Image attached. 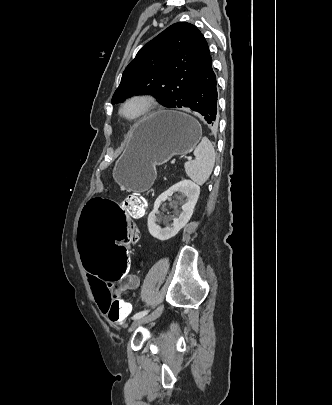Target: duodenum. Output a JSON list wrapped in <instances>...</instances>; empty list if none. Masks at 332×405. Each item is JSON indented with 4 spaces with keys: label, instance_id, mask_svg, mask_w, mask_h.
Masks as SVG:
<instances>
[{
    "label": "duodenum",
    "instance_id": "obj_1",
    "mask_svg": "<svg viewBox=\"0 0 332 405\" xmlns=\"http://www.w3.org/2000/svg\"><path fill=\"white\" fill-rule=\"evenodd\" d=\"M135 216H136V217H140V216H141V214L137 213Z\"/></svg>",
    "mask_w": 332,
    "mask_h": 405
}]
</instances>
